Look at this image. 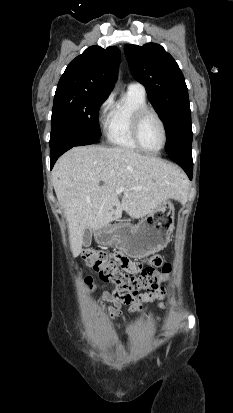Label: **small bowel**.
Wrapping results in <instances>:
<instances>
[{"label": "small bowel", "instance_id": "small-bowel-1", "mask_svg": "<svg viewBox=\"0 0 233 413\" xmlns=\"http://www.w3.org/2000/svg\"><path fill=\"white\" fill-rule=\"evenodd\" d=\"M113 259L117 266L121 268L122 272H125L130 276H137L139 270L144 268V263L142 261L135 262V257L133 255H126L122 253L121 248H116L113 252ZM154 264H159L161 262L160 258H155L152 261ZM164 294V290H156L153 292L146 293H136V294H126L121 293L115 287L111 289L109 293H105L101 296L100 302L105 301L111 302L113 305L107 308V313L110 319H120L125 321L127 315L122 311L123 305H130L129 315L139 313L142 310L144 303L154 301L160 298Z\"/></svg>", "mask_w": 233, "mask_h": 413}]
</instances>
